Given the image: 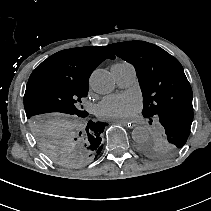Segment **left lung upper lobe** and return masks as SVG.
Masks as SVG:
<instances>
[{"label": "left lung upper lobe", "instance_id": "1", "mask_svg": "<svg viewBox=\"0 0 211 211\" xmlns=\"http://www.w3.org/2000/svg\"><path fill=\"white\" fill-rule=\"evenodd\" d=\"M136 70L143 94L142 115L158 128L140 150L163 158L178 152L187 142L193 121V94L179 61L162 48L143 41L108 45Z\"/></svg>", "mask_w": 211, "mask_h": 211}]
</instances>
